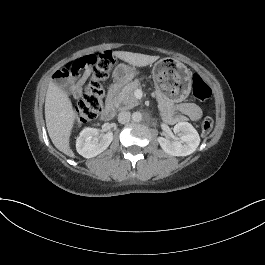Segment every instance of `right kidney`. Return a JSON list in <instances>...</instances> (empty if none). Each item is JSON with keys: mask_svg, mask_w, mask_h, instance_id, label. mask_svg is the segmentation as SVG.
I'll return each instance as SVG.
<instances>
[{"mask_svg": "<svg viewBox=\"0 0 265 265\" xmlns=\"http://www.w3.org/2000/svg\"><path fill=\"white\" fill-rule=\"evenodd\" d=\"M112 141V132L99 136L98 129L87 127L76 140V150L83 157L92 158L106 150Z\"/></svg>", "mask_w": 265, "mask_h": 265, "instance_id": "ca27d5eb", "label": "right kidney"}]
</instances>
